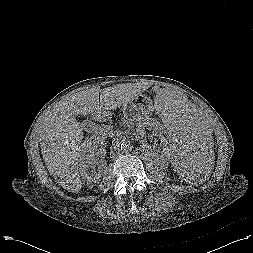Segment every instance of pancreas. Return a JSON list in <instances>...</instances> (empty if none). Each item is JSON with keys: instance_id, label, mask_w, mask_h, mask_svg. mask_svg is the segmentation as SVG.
Instances as JSON below:
<instances>
[{"instance_id": "obj_1", "label": "pancreas", "mask_w": 253, "mask_h": 253, "mask_svg": "<svg viewBox=\"0 0 253 253\" xmlns=\"http://www.w3.org/2000/svg\"><path fill=\"white\" fill-rule=\"evenodd\" d=\"M104 130L106 131V132H108V134L110 135V136H113V133H112V130H110V129H107V128H104Z\"/></svg>"}]
</instances>
